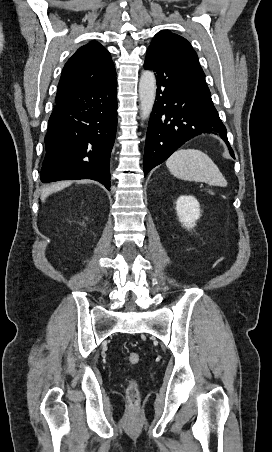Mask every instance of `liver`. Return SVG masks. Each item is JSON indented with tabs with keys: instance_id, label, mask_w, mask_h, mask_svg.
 <instances>
[{
	"instance_id": "6515ba94",
	"label": "liver",
	"mask_w": 272,
	"mask_h": 452,
	"mask_svg": "<svg viewBox=\"0 0 272 452\" xmlns=\"http://www.w3.org/2000/svg\"><path fill=\"white\" fill-rule=\"evenodd\" d=\"M70 184H71L70 181H64V182H59V183L53 184L50 187L45 188L42 192L41 200L44 201V199L47 196H49L51 193L60 191L61 189L69 186Z\"/></svg>"
}]
</instances>
